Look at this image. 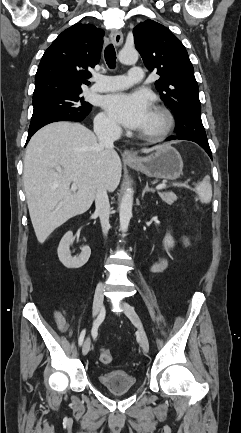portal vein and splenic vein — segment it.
<instances>
[{"mask_svg":"<svg viewBox=\"0 0 241 433\" xmlns=\"http://www.w3.org/2000/svg\"><path fill=\"white\" fill-rule=\"evenodd\" d=\"M165 188H166V184H159V185L156 186L157 190H163ZM71 190L72 191H76L77 190V185L75 183L72 184Z\"/></svg>","mask_w":241,"mask_h":433,"instance_id":"obj_1","label":"portal vein and splenic vein"}]
</instances>
